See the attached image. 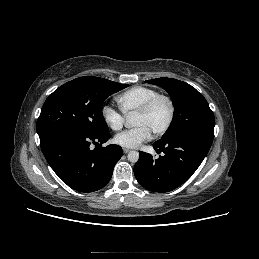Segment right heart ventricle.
Instances as JSON below:
<instances>
[{"label":"right heart ventricle","instance_id":"right-heart-ventricle-1","mask_svg":"<svg viewBox=\"0 0 259 259\" xmlns=\"http://www.w3.org/2000/svg\"><path fill=\"white\" fill-rule=\"evenodd\" d=\"M158 94L154 88L134 86L116 97V100L126 115L135 113L149 98Z\"/></svg>","mask_w":259,"mask_h":259}]
</instances>
